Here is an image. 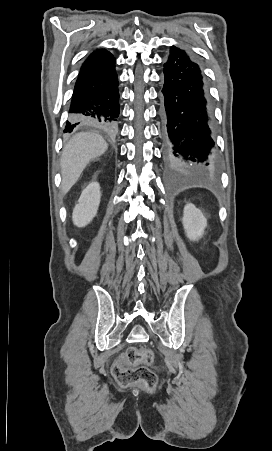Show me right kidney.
<instances>
[{"mask_svg":"<svg viewBox=\"0 0 272 451\" xmlns=\"http://www.w3.org/2000/svg\"><path fill=\"white\" fill-rule=\"evenodd\" d=\"M101 198L100 186L98 182H91L85 190H83L78 204H76L72 220L74 226L84 227L92 222L97 214Z\"/></svg>","mask_w":272,"mask_h":451,"instance_id":"right-kidney-1","label":"right kidney"}]
</instances>
